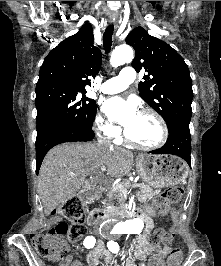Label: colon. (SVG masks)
Returning a JSON list of instances; mask_svg holds the SVG:
<instances>
[{
	"mask_svg": "<svg viewBox=\"0 0 221 266\" xmlns=\"http://www.w3.org/2000/svg\"><path fill=\"white\" fill-rule=\"evenodd\" d=\"M184 193L181 186L170 187L155 199V206L161 216H166L170 206L177 203ZM85 209L83 204L77 198H71L65 201L54 214L64 217L69 221L60 223L55 229L44 233L31 234V242L35 250L49 260L55 261L59 258L62 248V236H66L71 241L80 239L86 233V227L83 225ZM171 235L162 230L157 229L153 233L155 243L169 244ZM169 260L171 266H178L182 260V251L180 248H170Z\"/></svg>",
	"mask_w": 221,
	"mask_h": 266,
	"instance_id": "obj_1",
	"label": "colon"
}]
</instances>
